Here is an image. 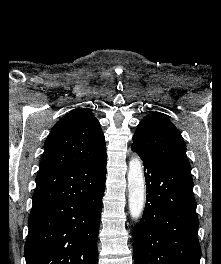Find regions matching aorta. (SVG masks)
Returning a JSON list of instances; mask_svg holds the SVG:
<instances>
[{
	"mask_svg": "<svg viewBox=\"0 0 221 264\" xmlns=\"http://www.w3.org/2000/svg\"><path fill=\"white\" fill-rule=\"evenodd\" d=\"M127 180L130 215L138 219L143 213L146 201L142 161L138 156H134L129 162Z\"/></svg>",
	"mask_w": 221,
	"mask_h": 264,
	"instance_id": "1",
	"label": "aorta"
}]
</instances>
